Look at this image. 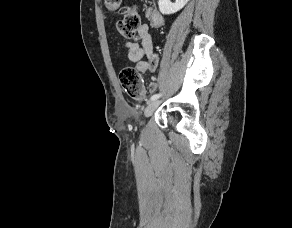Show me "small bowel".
<instances>
[{"instance_id":"1","label":"small bowel","mask_w":292,"mask_h":228,"mask_svg":"<svg viewBox=\"0 0 292 228\" xmlns=\"http://www.w3.org/2000/svg\"><path fill=\"white\" fill-rule=\"evenodd\" d=\"M125 45L128 49V60L134 65V68L140 73L156 71L158 60L153 52V39L149 25H142L137 33L126 41ZM157 87L156 80H153L149 86L150 92H155Z\"/></svg>"}]
</instances>
